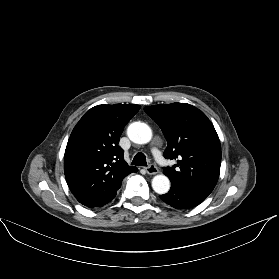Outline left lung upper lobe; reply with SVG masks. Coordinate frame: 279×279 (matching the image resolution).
<instances>
[{
    "mask_svg": "<svg viewBox=\"0 0 279 279\" xmlns=\"http://www.w3.org/2000/svg\"><path fill=\"white\" fill-rule=\"evenodd\" d=\"M144 111L167 140L164 157L177 159V164L164 168L171 185L207 197L217 183L221 166V145L213 124L187 103L148 106Z\"/></svg>",
    "mask_w": 279,
    "mask_h": 279,
    "instance_id": "1",
    "label": "left lung upper lobe"
}]
</instances>
